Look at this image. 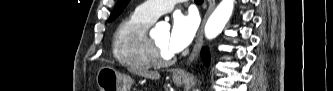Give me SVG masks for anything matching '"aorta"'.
<instances>
[{
  "label": "aorta",
  "mask_w": 333,
  "mask_h": 91,
  "mask_svg": "<svg viewBox=\"0 0 333 91\" xmlns=\"http://www.w3.org/2000/svg\"><path fill=\"white\" fill-rule=\"evenodd\" d=\"M234 2V0H222L213 11L204 29L207 39H213L221 33L232 15Z\"/></svg>",
  "instance_id": "1"
}]
</instances>
